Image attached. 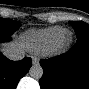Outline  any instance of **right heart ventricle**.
Segmentation results:
<instances>
[{
  "label": "right heart ventricle",
  "mask_w": 89,
  "mask_h": 89,
  "mask_svg": "<svg viewBox=\"0 0 89 89\" xmlns=\"http://www.w3.org/2000/svg\"><path fill=\"white\" fill-rule=\"evenodd\" d=\"M65 31L60 26H52L43 29H32L23 35V42L29 51H48L53 42Z\"/></svg>",
  "instance_id": "obj_1"
}]
</instances>
